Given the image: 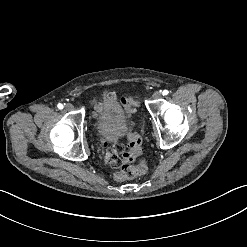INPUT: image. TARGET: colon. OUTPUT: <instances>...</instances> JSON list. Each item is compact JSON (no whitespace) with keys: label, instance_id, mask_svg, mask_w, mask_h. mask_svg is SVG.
Returning <instances> with one entry per match:
<instances>
[{"label":"colon","instance_id":"obj_1","mask_svg":"<svg viewBox=\"0 0 247 247\" xmlns=\"http://www.w3.org/2000/svg\"><path fill=\"white\" fill-rule=\"evenodd\" d=\"M121 103L124 106L126 112L128 114H131L133 111L131 108L130 99L127 97L121 98ZM128 148L131 150L134 154H125L123 156V161L125 163L132 164L133 160L135 159V162H138V165L134 164L132 165V170L129 173H123L121 170L115 171L112 174V179L115 182H120L122 179L129 181L131 179H138L142 178L147 173L148 168V161H137V157L140 156V150H141V138L138 133L135 131H128ZM135 155V156H134Z\"/></svg>","mask_w":247,"mask_h":247}]
</instances>
